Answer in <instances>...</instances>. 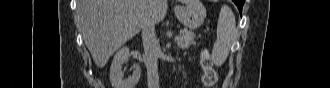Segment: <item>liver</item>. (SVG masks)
<instances>
[{"instance_id":"1","label":"liver","mask_w":330,"mask_h":88,"mask_svg":"<svg viewBox=\"0 0 330 88\" xmlns=\"http://www.w3.org/2000/svg\"><path fill=\"white\" fill-rule=\"evenodd\" d=\"M167 7V0H79L76 12L95 64L104 67L119 47L141 31L146 20L163 21Z\"/></svg>"}]
</instances>
